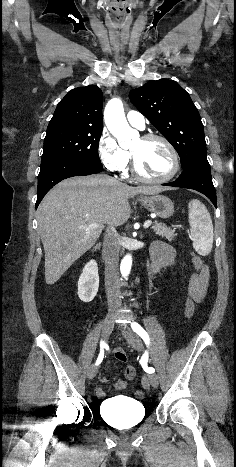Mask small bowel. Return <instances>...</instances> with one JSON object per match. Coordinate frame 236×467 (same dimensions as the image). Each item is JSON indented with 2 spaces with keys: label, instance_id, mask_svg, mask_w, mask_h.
<instances>
[{
  "label": "small bowel",
  "instance_id": "small-bowel-1",
  "mask_svg": "<svg viewBox=\"0 0 236 467\" xmlns=\"http://www.w3.org/2000/svg\"><path fill=\"white\" fill-rule=\"evenodd\" d=\"M151 257L153 260L152 271L158 272L161 269L174 264L175 251L173 247H171L167 243L156 242L151 250ZM209 279H210L209 268L205 264L203 265L201 270L191 273L190 279H189V289H188L189 297L191 300L195 302H201L204 299L207 293ZM118 352H121V351L119 350L115 351V359H116V354ZM117 361L125 362L126 359L124 361H119V360ZM135 374H136L135 368L132 365L127 364L125 366V379L119 380L116 383L115 388L117 390L125 389L127 387L128 381L132 380L135 377ZM100 381L105 383L108 381V377L103 375L100 377ZM96 395L100 398H103L107 394L103 389L98 388L96 390Z\"/></svg>",
  "mask_w": 236,
  "mask_h": 467
}]
</instances>
